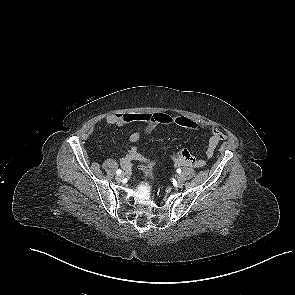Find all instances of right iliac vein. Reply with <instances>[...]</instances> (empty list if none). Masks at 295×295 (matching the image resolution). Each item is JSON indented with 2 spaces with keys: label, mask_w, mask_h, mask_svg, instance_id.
<instances>
[{
  "label": "right iliac vein",
  "mask_w": 295,
  "mask_h": 295,
  "mask_svg": "<svg viewBox=\"0 0 295 295\" xmlns=\"http://www.w3.org/2000/svg\"><path fill=\"white\" fill-rule=\"evenodd\" d=\"M123 178H124L123 174H119V175L116 176L117 181H121Z\"/></svg>",
  "instance_id": "right-iliac-vein-1"
}]
</instances>
